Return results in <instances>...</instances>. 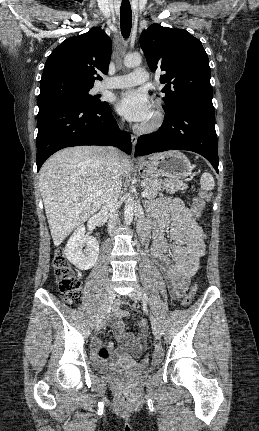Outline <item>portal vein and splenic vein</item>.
Returning <instances> with one entry per match:
<instances>
[{
    "label": "portal vein and splenic vein",
    "instance_id": "1",
    "mask_svg": "<svg viewBox=\"0 0 259 431\" xmlns=\"http://www.w3.org/2000/svg\"><path fill=\"white\" fill-rule=\"evenodd\" d=\"M147 196H148V192H147V190L143 191V192H142V197H147Z\"/></svg>",
    "mask_w": 259,
    "mask_h": 431
}]
</instances>
